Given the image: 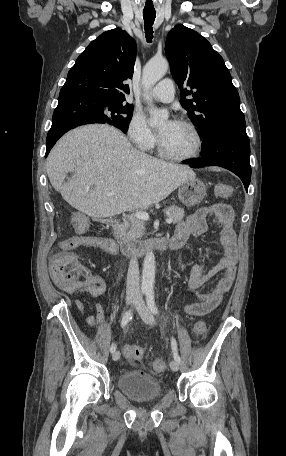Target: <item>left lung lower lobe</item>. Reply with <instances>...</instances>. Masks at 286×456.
I'll use <instances>...</instances> for the list:
<instances>
[{
	"label": "left lung lower lobe",
	"mask_w": 286,
	"mask_h": 456,
	"mask_svg": "<svg viewBox=\"0 0 286 456\" xmlns=\"http://www.w3.org/2000/svg\"><path fill=\"white\" fill-rule=\"evenodd\" d=\"M202 157L187 164L192 168L220 166L235 173L248 190L251 180L250 141L247 135L233 133L214 136L202 147Z\"/></svg>",
	"instance_id": "obj_1"
}]
</instances>
